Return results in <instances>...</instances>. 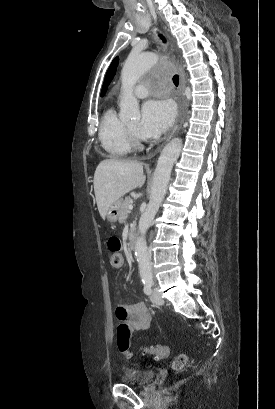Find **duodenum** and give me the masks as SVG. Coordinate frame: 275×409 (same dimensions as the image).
Listing matches in <instances>:
<instances>
[{"label": "duodenum", "instance_id": "obj_1", "mask_svg": "<svg viewBox=\"0 0 275 409\" xmlns=\"http://www.w3.org/2000/svg\"><path fill=\"white\" fill-rule=\"evenodd\" d=\"M136 230H134V229H132L130 232H129V235H128V247L131 249V250H134L135 249V246H136Z\"/></svg>", "mask_w": 275, "mask_h": 409}]
</instances>
